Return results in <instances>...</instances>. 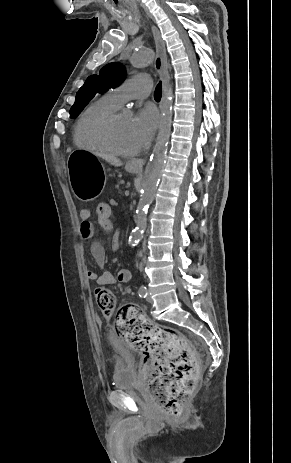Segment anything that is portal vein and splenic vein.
Here are the masks:
<instances>
[{"mask_svg":"<svg viewBox=\"0 0 291 463\" xmlns=\"http://www.w3.org/2000/svg\"><path fill=\"white\" fill-rule=\"evenodd\" d=\"M125 195H126V196L129 195V190H125Z\"/></svg>","mask_w":291,"mask_h":463,"instance_id":"18ae733b","label":"portal vein and splenic vein"}]
</instances>
